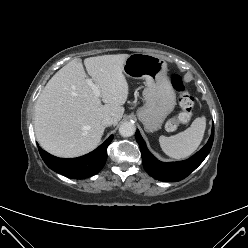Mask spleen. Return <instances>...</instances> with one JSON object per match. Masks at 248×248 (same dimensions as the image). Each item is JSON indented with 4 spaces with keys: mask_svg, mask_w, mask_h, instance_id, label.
<instances>
[{
    "mask_svg": "<svg viewBox=\"0 0 248 248\" xmlns=\"http://www.w3.org/2000/svg\"><path fill=\"white\" fill-rule=\"evenodd\" d=\"M205 128V117H198L186 130L170 137L160 136V146L163 152L171 158H187L199 147L204 136Z\"/></svg>",
    "mask_w": 248,
    "mask_h": 248,
    "instance_id": "spleen-1",
    "label": "spleen"
}]
</instances>
